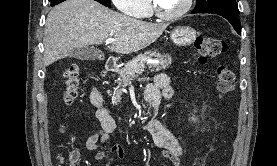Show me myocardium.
Returning <instances> with one entry per match:
<instances>
[{
    "mask_svg": "<svg viewBox=\"0 0 277 166\" xmlns=\"http://www.w3.org/2000/svg\"><path fill=\"white\" fill-rule=\"evenodd\" d=\"M193 0H186L184 6L173 14L164 13L158 6L156 0H150V7L153 14L164 21H174L183 17L192 7Z\"/></svg>",
    "mask_w": 277,
    "mask_h": 166,
    "instance_id": "f54148a6",
    "label": "myocardium"
}]
</instances>
